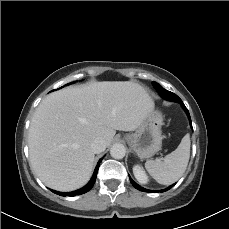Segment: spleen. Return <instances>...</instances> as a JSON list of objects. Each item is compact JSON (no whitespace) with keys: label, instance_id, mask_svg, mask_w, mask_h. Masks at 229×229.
Masks as SVG:
<instances>
[{"label":"spleen","instance_id":"spleen-1","mask_svg":"<svg viewBox=\"0 0 229 229\" xmlns=\"http://www.w3.org/2000/svg\"><path fill=\"white\" fill-rule=\"evenodd\" d=\"M190 157V136L186 134L179 146L164 159L149 160L145 163L148 173L160 184L170 185L185 172Z\"/></svg>","mask_w":229,"mask_h":229}]
</instances>
